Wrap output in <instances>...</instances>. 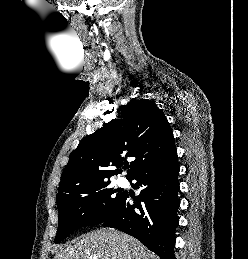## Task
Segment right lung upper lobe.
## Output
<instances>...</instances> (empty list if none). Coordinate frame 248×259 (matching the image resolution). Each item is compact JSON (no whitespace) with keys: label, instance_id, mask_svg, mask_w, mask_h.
I'll return each instance as SVG.
<instances>
[{"label":"right lung upper lobe","instance_id":"right-lung-upper-lobe-1","mask_svg":"<svg viewBox=\"0 0 248 259\" xmlns=\"http://www.w3.org/2000/svg\"><path fill=\"white\" fill-rule=\"evenodd\" d=\"M118 117L84 137L70 154L56 199L84 185L109 181L134 157L127 178L140 169L170 158L176 151L172 129L164 113L147 99L134 100L118 109Z\"/></svg>","mask_w":248,"mask_h":259}]
</instances>
